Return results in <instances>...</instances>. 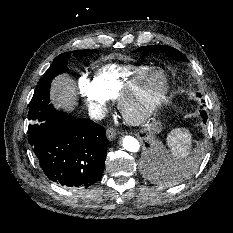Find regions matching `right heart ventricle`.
Returning a JSON list of instances; mask_svg holds the SVG:
<instances>
[{"label": "right heart ventricle", "mask_w": 233, "mask_h": 233, "mask_svg": "<svg viewBox=\"0 0 233 233\" xmlns=\"http://www.w3.org/2000/svg\"><path fill=\"white\" fill-rule=\"evenodd\" d=\"M150 69L147 65H107L97 71L94 80L107 100H115L125 87L142 80Z\"/></svg>", "instance_id": "e07e8e85"}]
</instances>
